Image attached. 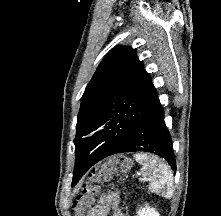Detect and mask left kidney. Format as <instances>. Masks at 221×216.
Listing matches in <instances>:
<instances>
[{"mask_svg": "<svg viewBox=\"0 0 221 216\" xmlns=\"http://www.w3.org/2000/svg\"><path fill=\"white\" fill-rule=\"evenodd\" d=\"M137 216H160V214L154 209L146 205L137 212Z\"/></svg>", "mask_w": 221, "mask_h": 216, "instance_id": "left-kidney-1", "label": "left kidney"}]
</instances>
